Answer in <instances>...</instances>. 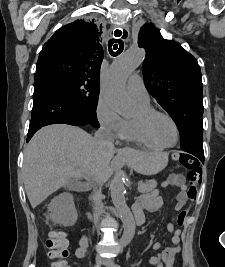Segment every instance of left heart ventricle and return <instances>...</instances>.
I'll return each mask as SVG.
<instances>
[{
    "label": "left heart ventricle",
    "mask_w": 225,
    "mask_h": 267,
    "mask_svg": "<svg viewBox=\"0 0 225 267\" xmlns=\"http://www.w3.org/2000/svg\"><path fill=\"white\" fill-rule=\"evenodd\" d=\"M152 132L159 144L171 145L176 140V131L172 122L163 116H157L152 122Z\"/></svg>",
    "instance_id": "left-heart-ventricle-1"
}]
</instances>
